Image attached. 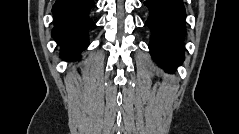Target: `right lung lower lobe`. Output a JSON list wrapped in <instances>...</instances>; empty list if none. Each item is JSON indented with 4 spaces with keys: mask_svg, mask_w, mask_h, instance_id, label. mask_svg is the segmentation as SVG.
<instances>
[{
    "mask_svg": "<svg viewBox=\"0 0 239 134\" xmlns=\"http://www.w3.org/2000/svg\"><path fill=\"white\" fill-rule=\"evenodd\" d=\"M93 0H57L52 8V36L61 47V57L72 60L88 46V30L94 25L89 11Z\"/></svg>",
    "mask_w": 239,
    "mask_h": 134,
    "instance_id": "98d812e1",
    "label": "right lung lower lobe"
}]
</instances>
